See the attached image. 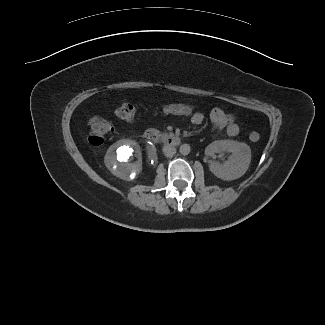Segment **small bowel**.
<instances>
[{"instance_id": "small-bowel-1", "label": "small bowel", "mask_w": 325, "mask_h": 325, "mask_svg": "<svg viewBox=\"0 0 325 325\" xmlns=\"http://www.w3.org/2000/svg\"><path fill=\"white\" fill-rule=\"evenodd\" d=\"M161 110L163 111L162 107ZM209 116L213 129L221 130L227 137H234L238 134L239 127L236 123L235 117L232 114L227 113L220 108H213L210 111ZM204 119V114L198 111L197 116L190 118V121L194 125H200L203 123Z\"/></svg>"}]
</instances>
